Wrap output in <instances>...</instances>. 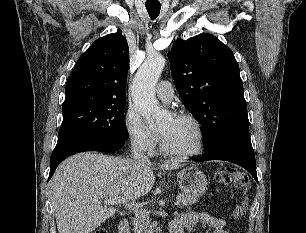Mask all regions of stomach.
<instances>
[{"label": "stomach", "mask_w": 306, "mask_h": 233, "mask_svg": "<svg viewBox=\"0 0 306 233\" xmlns=\"http://www.w3.org/2000/svg\"><path fill=\"white\" fill-rule=\"evenodd\" d=\"M177 181L185 195L198 198L207 189L205 174L193 166H186L177 173Z\"/></svg>", "instance_id": "stomach-1"}]
</instances>
